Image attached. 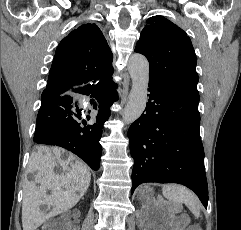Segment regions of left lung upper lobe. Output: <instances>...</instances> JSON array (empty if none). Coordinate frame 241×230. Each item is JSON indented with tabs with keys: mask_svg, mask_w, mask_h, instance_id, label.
<instances>
[{
	"mask_svg": "<svg viewBox=\"0 0 241 230\" xmlns=\"http://www.w3.org/2000/svg\"><path fill=\"white\" fill-rule=\"evenodd\" d=\"M135 52L148 59L150 80L199 95L195 51L186 32L177 25L162 16L149 18L140 34Z\"/></svg>",
	"mask_w": 241,
	"mask_h": 230,
	"instance_id": "5c2ea615",
	"label": "left lung upper lobe"
}]
</instances>
